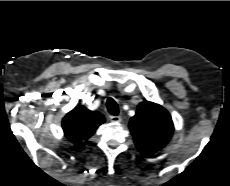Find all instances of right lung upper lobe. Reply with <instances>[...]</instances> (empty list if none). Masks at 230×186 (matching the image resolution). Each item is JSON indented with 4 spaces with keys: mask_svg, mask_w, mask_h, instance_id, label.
I'll list each match as a JSON object with an SVG mask.
<instances>
[{
    "mask_svg": "<svg viewBox=\"0 0 230 186\" xmlns=\"http://www.w3.org/2000/svg\"><path fill=\"white\" fill-rule=\"evenodd\" d=\"M104 122L105 119L99 112L90 111L84 106H76L63 118L62 128L69 141L80 148Z\"/></svg>",
    "mask_w": 230,
    "mask_h": 186,
    "instance_id": "cb5924a9",
    "label": "right lung upper lobe"
}]
</instances>
